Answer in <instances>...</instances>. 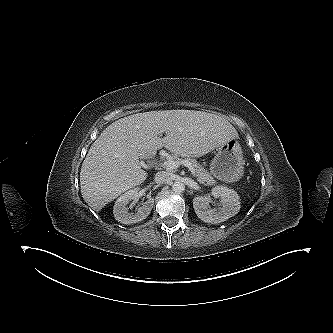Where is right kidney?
<instances>
[{"label":"right kidney","mask_w":333,"mask_h":333,"mask_svg":"<svg viewBox=\"0 0 333 333\" xmlns=\"http://www.w3.org/2000/svg\"><path fill=\"white\" fill-rule=\"evenodd\" d=\"M140 194L138 189H130L122 194L115 202L113 213L115 219L123 224H132L144 220L151 212L153 207V200H147L142 207L138 208L135 213H130L127 205L133 201L139 200Z\"/></svg>","instance_id":"ca27d5eb"}]
</instances>
